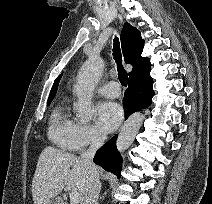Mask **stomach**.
<instances>
[{
  "label": "stomach",
  "mask_w": 212,
  "mask_h": 204,
  "mask_svg": "<svg viewBox=\"0 0 212 204\" xmlns=\"http://www.w3.org/2000/svg\"><path fill=\"white\" fill-rule=\"evenodd\" d=\"M47 204H62L60 199H51Z\"/></svg>",
  "instance_id": "0dacf381"
}]
</instances>
